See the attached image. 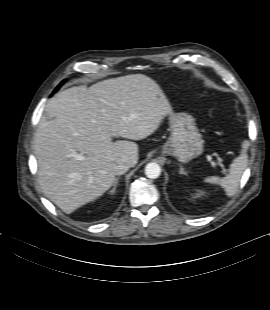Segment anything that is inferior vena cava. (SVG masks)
<instances>
[{
  "instance_id": "inferior-vena-cava-1",
  "label": "inferior vena cava",
  "mask_w": 270,
  "mask_h": 310,
  "mask_svg": "<svg viewBox=\"0 0 270 310\" xmlns=\"http://www.w3.org/2000/svg\"><path fill=\"white\" fill-rule=\"evenodd\" d=\"M130 168V164L126 160H120L117 162V164L114 165V173L116 175H122L127 172V170Z\"/></svg>"
}]
</instances>
